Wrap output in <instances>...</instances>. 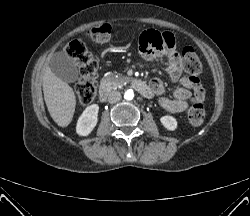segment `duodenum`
Masks as SVG:
<instances>
[{"instance_id":"duodenum-1","label":"duodenum","mask_w":250,"mask_h":216,"mask_svg":"<svg viewBox=\"0 0 250 216\" xmlns=\"http://www.w3.org/2000/svg\"><path fill=\"white\" fill-rule=\"evenodd\" d=\"M128 84L130 87L137 90L144 97H150L152 95L150 86L141 79H130L128 81ZM110 92L111 87L108 84H102L99 89V99L101 101H106Z\"/></svg>"}]
</instances>
